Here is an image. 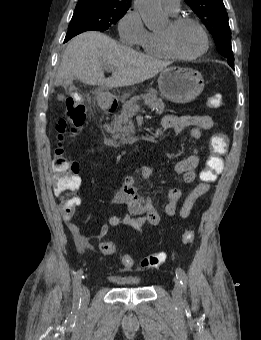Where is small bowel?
<instances>
[{"label": "small bowel", "instance_id": "c3829d8e", "mask_svg": "<svg viewBox=\"0 0 261 340\" xmlns=\"http://www.w3.org/2000/svg\"><path fill=\"white\" fill-rule=\"evenodd\" d=\"M214 125L213 119L208 115H167L161 121L159 132L172 130L174 134H179L185 128H191L190 135L199 138L204 131L210 130ZM200 164V157L197 151L190 156L180 159L173 164L175 173L181 177L186 184L193 183L198 178L197 167ZM142 179L147 180L152 175V169L148 166H141L134 172ZM200 177V175H199ZM81 182L80 177L78 176ZM210 188V184L199 183L185 198L180 208L179 214L182 218H187L191 214L198 199ZM182 198L179 188H172L166 195L167 202L164 212L167 216H174L178 209V204ZM113 203L125 205L127 212L124 216H111L107 224H104L94 236L102 239L106 236L110 227L119 225L130 227L136 231H142L144 227L158 225L161 221V212L153 203L151 196L143 195L139 192L136 179L133 174L125 177L121 190L113 197ZM80 204V200H79ZM64 222L73 235L77 247L81 251L92 249L90 239L81 231L80 227L72 221V215H64Z\"/></svg>", "mask_w": 261, "mask_h": 340}]
</instances>
